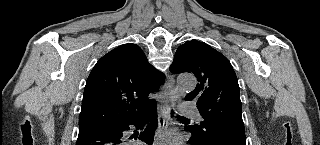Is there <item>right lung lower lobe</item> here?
Wrapping results in <instances>:
<instances>
[{"instance_id": "98d812e1", "label": "right lung lower lobe", "mask_w": 320, "mask_h": 145, "mask_svg": "<svg viewBox=\"0 0 320 145\" xmlns=\"http://www.w3.org/2000/svg\"><path fill=\"white\" fill-rule=\"evenodd\" d=\"M156 105L141 117L130 122L100 125L86 129H79L76 145H134L131 138L124 135L130 125L140 128L145 122L150 121L139 139L151 145L153 143L155 128L158 125Z\"/></svg>"}]
</instances>
